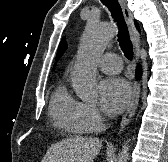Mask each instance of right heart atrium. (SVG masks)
<instances>
[{"label":"right heart atrium","instance_id":"obj_1","mask_svg":"<svg viewBox=\"0 0 168 162\" xmlns=\"http://www.w3.org/2000/svg\"><path fill=\"white\" fill-rule=\"evenodd\" d=\"M80 119L89 131H98L103 126V118L94 104L80 103Z\"/></svg>","mask_w":168,"mask_h":162}]
</instances>
